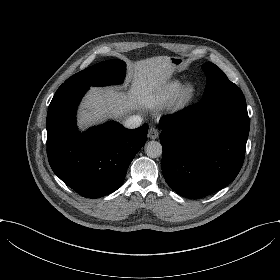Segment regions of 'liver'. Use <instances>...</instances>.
<instances>
[{"label": "liver", "instance_id": "6515ba94", "mask_svg": "<svg viewBox=\"0 0 280 280\" xmlns=\"http://www.w3.org/2000/svg\"><path fill=\"white\" fill-rule=\"evenodd\" d=\"M174 67L168 56H157L127 64L126 84L131 82L126 93L117 88L92 87L85 96L78 114V126L84 130L107 117L122 118L142 104L143 98L160 90L171 76Z\"/></svg>", "mask_w": 280, "mask_h": 280}]
</instances>
